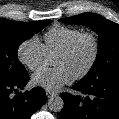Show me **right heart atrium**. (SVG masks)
I'll return each instance as SVG.
<instances>
[{"mask_svg":"<svg viewBox=\"0 0 119 119\" xmlns=\"http://www.w3.org/2000/svg\"><path fill=\"white\" fill-rule=\"evenodd\" d=\"M17 57L19 61L31 71L42 69L49 59L44 44L35 36L24 40L19 45Z\"/></svg>","mask_w":119,"mask_h":119,"instance_id":"right-heart-atrium-1","label":"right heart atrium"}]
</instances>
